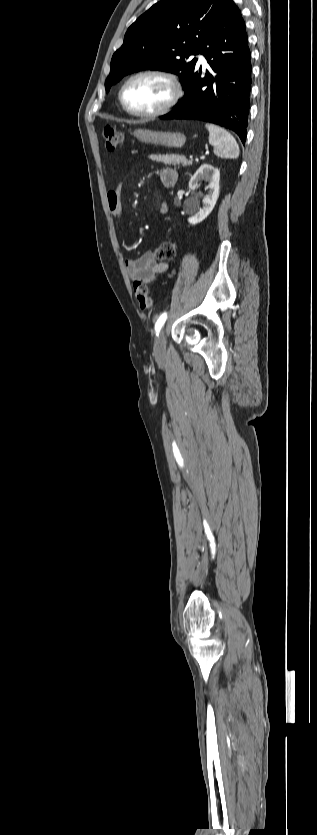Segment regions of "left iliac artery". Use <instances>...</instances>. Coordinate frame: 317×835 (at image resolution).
<instances>
[{"mask_svg":"<svg viewBox=\"0 0 317 835\" xmlns=\"http://www.w3.org/2000/svg\"><path fill=\"white\" fill-rule=\"evenodd\" d=\"M166 319H167V313L166 312L162 313L159 316V318L157 319L156 324H155V331H156L157 336H159V332H160L161 328L163 327Z\"/></svg>","mask_w":317,"mask_h":835,"instance_id":"1","label":"left iliac artery"}]
</instances>
